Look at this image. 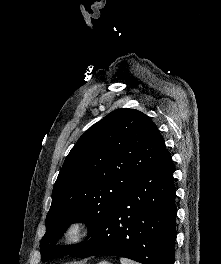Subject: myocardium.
Listing matches in <instances>:
<instances>
[{
    "mask_svg": "<svg viewBox=\"0 0 221 264\" xmlns=\"http://www.w3.org/2000/svg\"><path fill=\"white\" fill-rule=\"evenodd\" d=\"M91 233L90 224L82 219L70 222L63 231V240L69 245H76L85 241Z\"/></svg>",
    "mask_w": 221,
    "mask_h": 264,
    "instance_id": "f54148a6",
    "label": "myocardium"
}]
</instances>
